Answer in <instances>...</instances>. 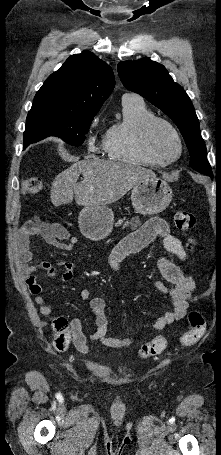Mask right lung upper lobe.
<instances>
[{
    "label": "right lung upper lobe",
    "instance_id": "cb5924a9",
    "mask_svg": "<svg viewBox=\"0 0 221 455\" xmlns=\"http://www.w3.org/2000/svg\"><path fill=\"white\" fill-rule=\"evenodd\" d=\"M115 86L111 67L90 51L70 56L38 90L32 107L98 112Z\"/></svg>",
    "mask_w": 221,
    "mask_h": 455
}]
</instances>
